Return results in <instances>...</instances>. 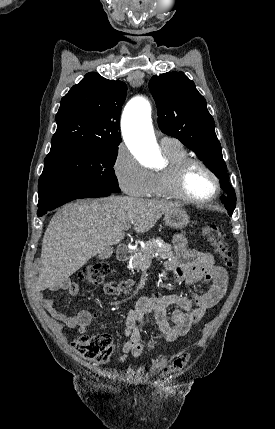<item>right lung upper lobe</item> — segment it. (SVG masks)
Returning a JSON list of instances; mask_svg holds the SVG:
<instances>
[{"label":"right lung upper lobe","instance_id":"1","mask_svg":"<svg viewBox=\"0 0 275 429\" xmlns=\"http://www.w3.org/2000/svg\"><path fill=\"white\" fill-rule=\"evenodd\" d=\"M127 86L98 73H87L62 98L51 151L69 147L118 146L120 112Z\"/></svg>","mask_w":275,"mask_h":429}]
</instances>
